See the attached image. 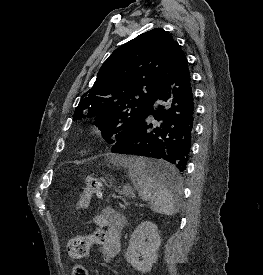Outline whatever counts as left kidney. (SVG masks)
<instances>
[{"label":"left kidney","mask_w":263,"mask_h":275,"mask_svg":"<svg viewBox=\"0 0 263 275\" xmlns=\"http://www.w3.org/2000/svg\"><path fill=\"white\" fill-rule=\"evenodd\" d=\"M160 245L161 238L157 226L144 221L132 233L125 258L135 270L145 274L156 262ZM140 256L142 261L139 260Z\"/></svg>","instance_id":"1"}]
</instances>
